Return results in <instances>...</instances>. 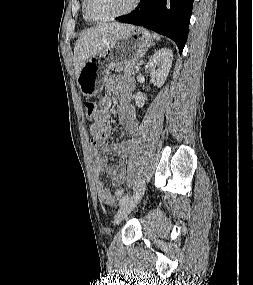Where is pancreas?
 Wrapping results in <instances>:
<instances>
[{"label": "pancreas", "mask_w": 253, "mask_h": 285, "mask_svg": "<svg viewBox=\"0 0 253 285\" xmlns=\"http://www.w3.org/2000/svg\"><path fill=\"white\" fill-rule=\"evenodd\" d=\"M136 65H138V61L132 62L126 65L116 67L115 71L120 73L123 72L126 75H134L136 73Z\"/></svg>", "instance_id": "cf45deb5"}]
</instances>
